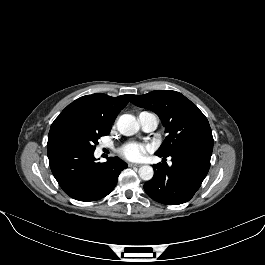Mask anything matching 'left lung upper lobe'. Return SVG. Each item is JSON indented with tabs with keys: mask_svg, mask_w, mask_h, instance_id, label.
Segmentation results:
<instances>
[{
	"mask_svg": "<svg viewBox=\"0 0 265 265\" xmlns=\"http://www.w3.org/2000/svg\"><path fill=\"white\" fill-rule=\"evenodd\" d=\"M131 102L159 115L168 135L156 152L158 154L169 155L191 139L212 135L205 115L179 92L157 90L144 95H132Z\"/></svg>",
	"mask_w": 265,
	"mask_h": 265,
	"instance_id": "5c2ea615",
	"label": "left lung upper lobe"
}]
</instances>
